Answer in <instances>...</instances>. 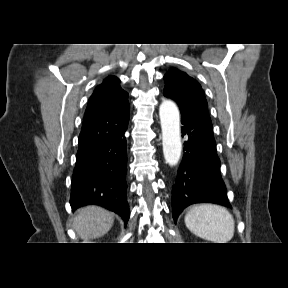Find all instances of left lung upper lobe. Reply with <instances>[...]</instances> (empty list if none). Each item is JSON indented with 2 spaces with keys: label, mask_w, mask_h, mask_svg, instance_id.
<instances>
[{
  "label": "left lung upper lobe",
  "mask_w": 288,
  "mask_h": 288,
  "mask_svg": "<svg viewBox=\"0 0 288 288\" xmlns=\"http://www.w3.org/2000/svg\"><path fill=\"white\" fill-rule=\"evenodd\" d=\"M164 79V96L175 100L181 112L201 113L211 121L204 92L195 79L176 68H171Z\"/></svg>",
  "instance_id": "5c2ea615"
}]
</instances>
